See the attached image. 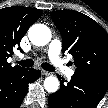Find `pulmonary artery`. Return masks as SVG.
I'll return each instance as SVG.
<instances>
[{
	"label": "pulmonary artery",
	"mask_w": 108,
	"mask_h": 108,
	"mask_svg": "<svg viewBox=\"0 0 108 108\" xmlns=\"http://www.w3.org/2000/svg\"><path fill=\"white\" fill-rule=\"evenodd\" d=\"M60 51L61 42L57 39L52 40L48 48V56L51 62L58 70L62 71L66 76L71 77L74 74V70L65 65V62L60 57Z\"/></svg>",
	"instance_id": "pulmonary-artery-1"
}]
</instances>
